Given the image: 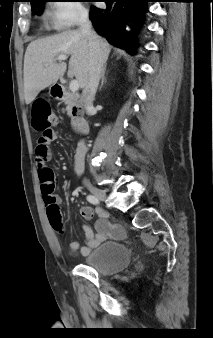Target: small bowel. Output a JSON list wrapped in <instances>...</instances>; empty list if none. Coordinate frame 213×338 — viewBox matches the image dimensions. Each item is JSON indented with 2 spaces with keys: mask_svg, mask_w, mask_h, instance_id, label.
Masks as SVG:
<instances>
[{
  "mask_svg": "<svg viewBox=\"0 0 213 338\" xmlns=\"http://www.w3.org/2000/svg\"><path fill=\"white\" fill-rule=\"evenodd\" d=\"M56 138L57 134L55 132H53L51 136H42L39 138L37 146L35 148V160L39 167H41L42 165L47 166V163L50 161L51 158L50 146L52 142L56 140ZM86 152L87 147L84 141H81L78 144L74 156L75 171L79 174L82 173L84 169ZM61 202L62 198L60 196H56L52 207L57 208L59 210V205L61 204ZM50 209H51L50 207H47L48 219ZM97 214L100 218V221L97 222L96 224L97 232L95 233L90 226L84 225L82 227V230L86 237V245L82 246L79 241L71 242L68 247V254L70 256L76 257L80 254L82 255L88 254L93 247L97 246L108 237L124 235L122 229L117 228L107 222L105 216L106 214L103 210H97ZM81 215L85 218H90L93 215V209L91 207H83L81 209ZM54 228L57 230H61L62 223H60L57 227Z\"/></svg>",
  "mask_w": 213,
  "mask_h": 338,
  "instance_id": "small-bowel-1",
  "label": "small bowel"
}]
</instances>
